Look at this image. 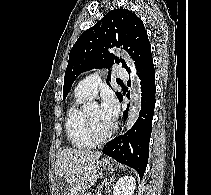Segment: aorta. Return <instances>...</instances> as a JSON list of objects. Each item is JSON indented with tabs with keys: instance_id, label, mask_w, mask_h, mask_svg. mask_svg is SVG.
<instances>
[{
	"instance_id": "obj_1",
	"label": "aorta",
	"mask_w": 211,
	"mask_h": 195,
	"mask_svg": "<svg viewBox=\"0 0 211 195\" xmlns=\"http://www.w3.org/2000/svg\"><path fill=\"white\" fill-rule=\"evenodd\" d=\"M113 53L119 57H122L127 65L130 67L133 80H132V90L130 95L131 105L128 113V119L126 123V129H130L137 121L139 117L140 105H141V91H140V81L138 79L134 61L125 52H121L119 49H112ZM96 106V102L90 101L86 104V107L90 108Z\"/></svg>"
}]
</instances>
